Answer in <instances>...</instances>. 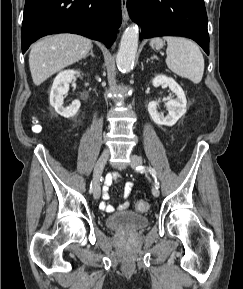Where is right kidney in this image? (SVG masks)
<instances>
[{"label":"right kidney","mask_w":243,"mask_h":289,"mask_svg":"<svg viewBox=\"0 0 243 289\" xmlns=\"http://www.w3.org/2000/svg\"><path fill=\"white\" fill-rule=\"evenodd\" d=\"M80 76L79 71L65 70L60 72L54 79L50 92V104L54 107L55 111L65 117H73L80 108V101L74 100L70 106L63 107V95L68 92V85L75 77Z\"/></svg>","instance_id":"1"}]
</instances>
